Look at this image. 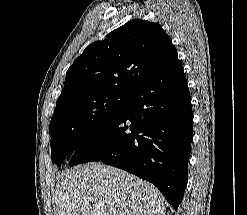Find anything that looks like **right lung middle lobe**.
Instances as JSON below:
<instances>
[{"mask_svg":"<svg viewBox=\"0 0 247 215\" xmlns=\"http://www.w3.org/2000/svg\"><path fill=\"white\" fill-rule=\"evenodd\" d=\"M131 94L98 93L59 105L51 119V157L61 166L81 139L116 118Z\"/></svg>","mask_w":247,"mask_h":215,"instance_id":"right-lung-middle-lobe-1","label":"right lung middle lobe"}]
</instances>
